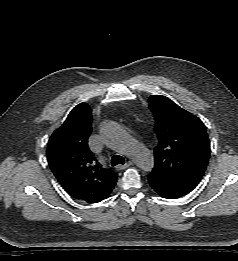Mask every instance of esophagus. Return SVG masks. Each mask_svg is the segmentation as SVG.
Masks as SVG:
<instances>
[{"label": "esophagus", "instance_id": "34e87169", "mask_svg": "<svg viewBox=\"0 0 238 261\" xmlns=\"http://www.w3.org/2000/svg\"><path fill=\"white\" fill-rule=\"evenodd\" d=\"M132 165V162L131 161H128L127 163H125L124 165H117L116 166V169L117 170H124L126 168H128L129 166Z\"/></svg>", "mask_w": 238, "mask_h": 261}]
</instances>
